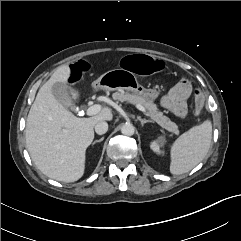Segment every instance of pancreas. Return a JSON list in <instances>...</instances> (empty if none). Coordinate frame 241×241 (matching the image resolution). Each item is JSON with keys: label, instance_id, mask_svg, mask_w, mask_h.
I'll return each mask as SVG.
<instances>
[{"label": "pancreas", "instance_id": "pancreas-1", "mask_svg": "<svg viewBox=\"0 0 241 241\" xmlns=\"http://www.w3.org/2000/svg\"><path fill=\"white\" fill-rule=\"evenodd\" d=\"M113 99L120 102H130L133 104L142 105L146 109V115H148L154 122L159 124L162 128L172 132L174 134H178V126L169 120L168 117L164 116L162 112H160L157 106L154 104L153 100L147 99L143 96L130 94L124 91L116 92L113 94Z\"/></svg>", "mask_w": 241, "mask_h": 241}]
</instances>
